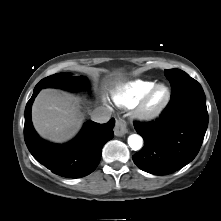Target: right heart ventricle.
<instances>
[{
    "label": "right heart ventricle",
    "mask_w": 221,
    "mask_h": 221,
    "mask_svg": "<svg viewBox=\"0 0 221 221\" xmlns=\"http://www.w3.org/2000/svg\"><path fill=\"white\" fill-rule=\"evenodd\" d=\"M155 84L154 81L143 79L130 81L113 93V101L121 107H134Z\"/></svg>",
    "instance_id": "e07e8e85"
}]
</instances>
